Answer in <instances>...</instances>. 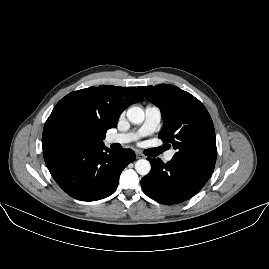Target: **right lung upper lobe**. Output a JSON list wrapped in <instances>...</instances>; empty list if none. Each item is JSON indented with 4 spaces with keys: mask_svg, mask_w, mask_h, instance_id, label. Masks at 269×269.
Masks as SVG:
<instances>
[{
    "mask_svg": "<svg viewBox=\"0 0 269 269\" xmlns=\"http://www.w3.org/2000/svg\"><path fill=\"white\" fill-rule=\"evenodd\" d=\"M143 100L135 87L101 85L71 92L57 103L45 123L43 150L66 147L82 136L102 142L107 130L117 126L120 114Z\"/></svg>",
    "mask_w": 269,
    "mask_h": 269,
    "instance_id": "obj_1",
    "label": "right lung upper lobe"
}]
</instances>
